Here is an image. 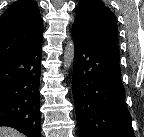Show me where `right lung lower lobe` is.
Instances as JSON below:
<instances>
[{"label":"right lung lower lobe","instance_id":"right-lung-lower-lobe-1","mask_svg":"<svg viewBox=\"0 0 144 137\" xmlns=\"http://www.w3.org/2000/svg\"><path fill=\"white\" fill-rule=\"evenodd\" d=\"M42 39L0 60V126L40 137V63Z\"/></svg>","mask_w":144,"mask_h":137}]
</instances>
